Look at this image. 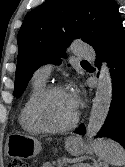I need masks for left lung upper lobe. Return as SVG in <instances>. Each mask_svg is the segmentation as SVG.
<instances>
[{"instance_id": "obj_1", "label": "left lung upper lobe", "mask_w": 125, "mask_h": 167, "mask_svg": "<svg viewBox=\"0 0 125 167\" xmlns=\"http://www.w3.org/2000/svg\"><path fill=\"white\" fill-rule=\"evenodd\" d=\"M119 17L115 0H46L28 12L18 33L14 96H21L40 66L60 63L74 39L95 46Z\"/></svg>"}]
</instances>
